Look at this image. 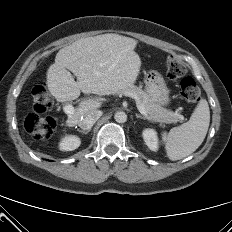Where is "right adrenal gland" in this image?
<instances>
[{
  "label": "right adrenal gland",
  "mask_w": 232,
  "mask_h": 232,
  "mask_svg": "<svg viewBox=\"0 0 232 232\" xmlns=\"http://www.w3.org/2000/svg\"><path fill=\"white\" fill-rule=\"evenodd\" d=\"M77 131L78 132H80V133H82V134H88L90 131H91V128L90 129H88V130H79V129H77Z\"/></svg>",
  "instance_id": "right-adrenal-gland-1"
}]
</instances>
